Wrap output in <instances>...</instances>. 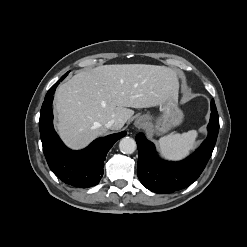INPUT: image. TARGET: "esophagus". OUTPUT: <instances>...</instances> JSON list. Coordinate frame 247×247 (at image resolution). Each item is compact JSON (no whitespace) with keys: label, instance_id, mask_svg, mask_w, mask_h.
Wrapping results in <instances>:
<instances>
[{"label":"esophagus","instance_id":"obj_1","mask_svg":"<svg viewBox=\"0 0 247 247\" xmlns=\"http://www.w3.org/2000/svg\"><path fill=\"white\" fill-rule=\"evenodd\" d=\"M134 125L136 128H142L145 125V120L143 118H137Z\"/></svg>","mask_w":247,"mask_h":247}]
</instances>
